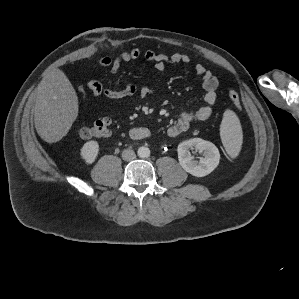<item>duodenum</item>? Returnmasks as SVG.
Segmentation results:
<instances>
[{
    "label": "duodenum",
    "mask_w": 299,
    "mask_h": 299,
    "mask_svg": "<svg viewBox=\"0 0 299 299\" xmlns=\"http://www.w3.org/2000/svg\"><path fill=\"white\" fill-rule=\"evenodd\" d=\"M143 135H144V136H148V135H149V132H148V131H144V132H143Z\"/></svg>",
    "instance_id": "obj_1"
}]
</instances>
